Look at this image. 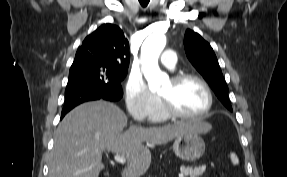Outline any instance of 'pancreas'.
Here are the masks:
<instances>
[{
	"label": "pancreas",
	"mask_w": 287,
	"mask_h": 177,
	"mask_svg": "<svg viewBox=\"0 0 287 177\" xmlns=\"http://www.w3.org/2000/svg\"><path fill=\"white\" fill-rule=\"evenodd\" d=\"M206 167L205 166H199V167H185L181 166L180 171L184 175H188L190 177H199L205 172Z\"/></svg>",
	"instance_id": "1"
}]
</instances>
